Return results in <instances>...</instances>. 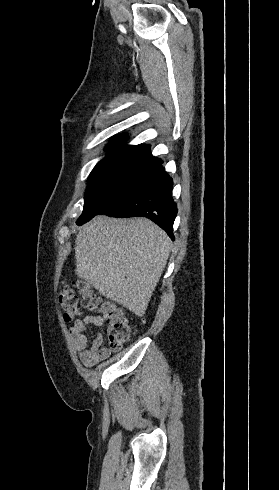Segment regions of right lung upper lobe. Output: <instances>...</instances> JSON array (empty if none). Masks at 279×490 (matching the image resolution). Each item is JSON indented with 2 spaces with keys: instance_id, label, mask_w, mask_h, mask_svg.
<instances>
[{
  "instance_id": "cb5924a9",
  "label": "right lung upper lobe",
  "mask_w": 279,
  "mask_h": 490,
  "mask_svg": "<svg viewBox=\"0 0 279 490\" xmlns=\"http://www.w3.org/2000/svg\"><path fill=\"white\" fill-rule=\"evenodd\" d=\"M126 139H128L127 135L115 136L106 146L108 154L98 164L118 161L140 164L162 163L159 158L152 156L149 145H125Z\"/></svg>"
}]
</instances>
